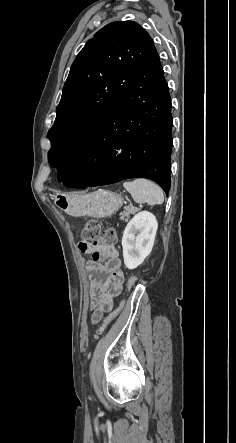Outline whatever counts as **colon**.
<instances>
[{
	"mask_svg": "<svg viewBox=\"0 0 236 443\" xmlns=\"http://www.w3.org/2000/svg\"><path fill=\"white\" fill-rule=\"evenodd\" d=\"M83 238L89 241L93 245L97 244H112L116 241V232L112 227L103 229L99 221L95 219H90L86 222L85 228L83 231ZM84 245L81 249H84ZM135 282V278H131L128 282V288L130 289ZM123 305H120L117 309L112 311L103 324L98 328L96 335V342L98 343L105 334V331L109 324L119 315L122 310Z\"/></svg>",
	"mask_w": 236,
	"mask_h": 443,
	"instance_id": "1",
	"label": "colon"
}]
</instances>
